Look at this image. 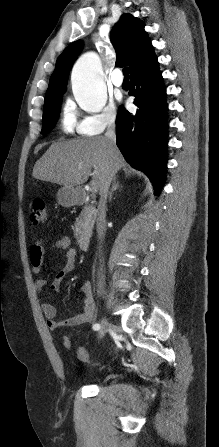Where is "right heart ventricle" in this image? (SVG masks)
Returning <instances> with one entry per match:
<instances>
[{
  "label": "right heart ventricle",
  "mask_w": 219,
  "mask_h": 447,
  "mask_svg": "<svg viewBox=\"0 0 219 447\" xmlns=\"http://www.w3.org/2000/svg\"><path fill=\"white\" fill-rule=\"evenodd\" d=\"M62 129L66 134H71L74 132L82 134L80 123L78 122L76 117V112L70 105L65 106L62 118Z\"/></svg>",
  "instance_id": "right-heart-ventricle-1"
}]
</instances>
